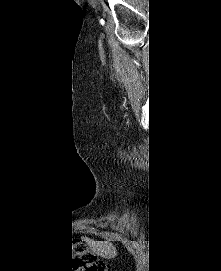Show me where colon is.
Instances as JSON below:
<instances>
[{
	"instance_id": "5ec220e1",
	"label": "colon",
	"mask_w": 221,
	"mask_h": 271,
	"mask_svg": "<svg viewBox=\"0 0 221 271\" xmlns=\"http://www.w3.org/2000/svg\"><path fill=\"white\" fill-rule=\"evenodd\" d=\"M74 263L77 271H106L105 264L96 261L95 255L89 253L85 246H79L75 254H73Z\"/></svg>"
}]
</instances>
